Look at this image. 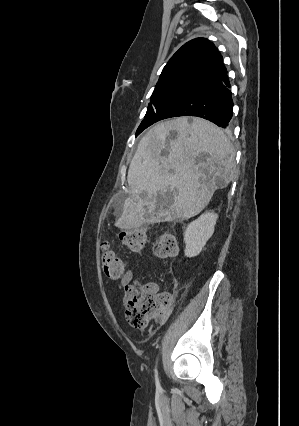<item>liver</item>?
<instances>
[{"instance_id": "obj_1", "label": "liver", "mask_w": 299, "mask_h": 426, "mask_svg": "<svg viewBox=\"0 0 299 426\" xmlns=\"http://www.w3.org/2000/svg\"><path fill=\"white\" fill-rule=\"evenodd\" d=\"M234 166L233 147L215 124L198 117L162 121L137 146L127 176L130 196L115 225L128 230L196 216L234 179Z\"/></svg>"}]
</instances>
